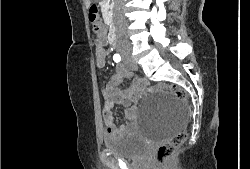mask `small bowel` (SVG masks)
Returning a JSON list of instances; mask_svg holds the SVG:
<instances>
[{
	"mask_svg": "<svg viewBox=\"0 0 250 169\" xmlns=\"http://www.w3.org/2000/svg\"><path fill=\"white\" fill-rule=\"evenodd\" d=\"M97 33L96 45V64L98 67H104L106 64L107 52L104 49L106 42L105 29ZM130 77V72L123 67H119L115 74L109 79L103 96L105 100V107L103 110V119L108 135L119 133H134L137 130L136 117L138 113V102L143 96V90L149 85L146 78L136 77L131 83L125 87L120 88V85L125 79ZM116 105H121L125 108V117L127 124L116 126L114 124L113 108Z\"/></svg>",
	"mask_w": 250,
	"mask_h": 169,
	"instance_id": "obj_1",
	"label": "small bowel"
}]
</instances>
